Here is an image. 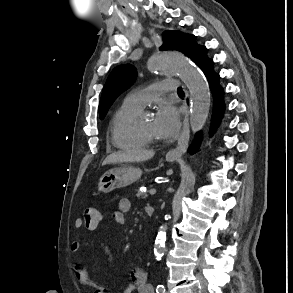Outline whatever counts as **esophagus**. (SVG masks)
<instances>
[{
    "mask_svg": "<svg viewBox=\"0 0 293 293\" xmlns=\"http://www.w3.org/2000/svg\"><path fill=\"white\" fill-rule=\"evenodd\" d=\"M189 132V117L188 115L185 117L184 120V126H183V132L178 140V145L176 146V148L171 149L168 152V156H181L187 149V138L186 135Z\"/></svg>",
    "mask_w": 293,
    "mask_h": 293,
    "instance_id": "34e87169",
    "label": "esophagus"
}]
</instances>
